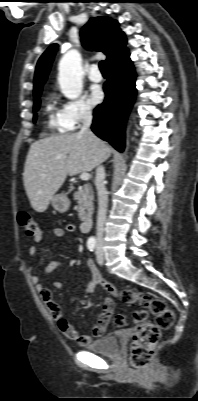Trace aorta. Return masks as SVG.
I'll return each instance as SVG.
<instances>
[{"label":"aorta","mask_w":198,"mask_h":401,"mask_svg":"<svg viewBox=\"0 0 198 401\" xmlns=\"http://www.w3.org/2000/svg\"><path fill=\"white\" fill-rule=\"evenodd\" d=\"M58 82L63 95L71 100L82 92V66L77 51L67 52L59 62Z\"/></svg>","instance_id":"1"}]
</instances>
